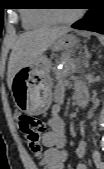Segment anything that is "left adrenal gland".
I'll return each instance as SVG.
<instances>
[{
	"label": "left adrenal gland",
	"instance_id": "1",
	"mask_svg": "<svg viewBox=\"0 0 104 169\" xmlns=\"http://www.w3.org/2000/svg\"><path fill=\"white\" fill-rule=\"evenodd\" d=\"M85 49V59L88 61L90 58H91V53L87 50V48H84Z\"/></svg>",
	"mask_w": 104,
	"mask_h": 169
}]
</instances>
